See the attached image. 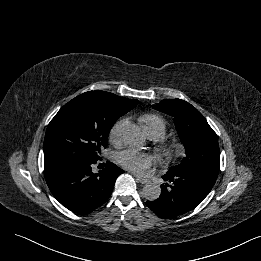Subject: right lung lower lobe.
Here are the masks:
<instances>
[{
  "label": "right lung lower lobe",
  "mask_w": 261,
  "mask_h": 261,
  "mask_svg": "<svg viewBox=\"0 0 261 261\" xmlns=\"http://www.w3.org/2000/svg\"><path fill=\"white\" fill-rule=\"evenodd\" d=\"M97 159H67L44 163V176L53 196L67 209L89 214L110 197L116 178L124 173L111 162L98 173L92 167Z\"/></svg>",
  "instance_id": "right-lung-lower-lobe-1"
}]
</instances>
